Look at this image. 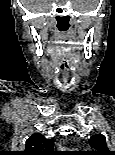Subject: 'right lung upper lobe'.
Here are the masks:
<instances>
[{
	"label": "right lung upper lobe",
	"instance_id": "1",
	"mask_svg": "<svg viewBox=\"0 0 115 155\" xmlns=\"http://www.w3.org/2000/svg\"><path fill=\"white\" fill-rule=\"evenodd\" d=\"M53 140L46 139L39 133H34L26 141V148L22 155H57L53 151Z\"/></svg>",
	"mask_w": 115,
	"mask_h": 155
}]
</instances>
